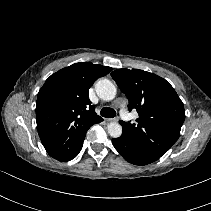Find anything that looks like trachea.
<instances>
[{
  "label": "trachea",
  "instance_id": "1",
  "mask_svg": "<svg viewBox=\"0 0 211 211\" xmlns=\"http://www.w3.org/2000/svg\"><path fill=\"white\" fill-rule=\"evenodd\" d=\"M101 115L103 117L113 118L116 116V111L109 107H104L101 109Z\"/></svg>",
  "mask_w": 211,
  "mask_h": 211
}]
</instances>
